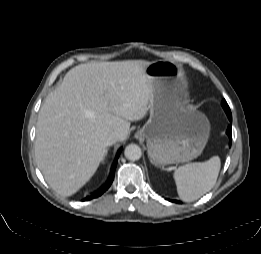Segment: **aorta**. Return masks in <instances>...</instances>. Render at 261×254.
I'll use <instances>...</instances> for the list:
<instances>
[{"label": "aorta", "mask_w": 261, "mask_h": 254, "mask_svg": "<svg viewBox=\"0 0 261 254\" xmlns=\"http://www.w3.org/2000/svg\"><path fill=\"white\" fill-rule=\"evenodd\" d=\"M124 154L128 160L136 161L141 158L142 151L138 145L129 144L128 146H126Z\"/></svg>", "instance_id": "762f6f07"}]
</instances>
